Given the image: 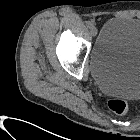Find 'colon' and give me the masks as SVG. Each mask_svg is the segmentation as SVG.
Returning a JSON list of instances; mask_svg holds the SVG:
<instances>
[{
    "label": "colon",
    "instance_id": "obj_1",
    "mask_svg": "<svg viewBox=\"0 0 140 140\" xmlns=\"http://www.w3.org/2000/svg\"><path fill=\"white\" fill-rule=\"evenodd\" d=\"M108 107L116 114H125L128 111L127 102L120 98H111L108 101Z\"/></svg>",
    "mask_w": 140,
    "mask_h": 140
}]
</instances>
